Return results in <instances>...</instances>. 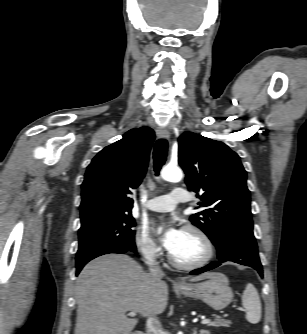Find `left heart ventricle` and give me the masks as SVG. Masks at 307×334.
<instances>
[{"label": "left heart ventricle", "instance_id": "left-heart-ventricle-1", "mask_svg": "<svg viewBox=\"0 0 307 334\" xmlns=\"http://www.w3.org/2000/svg\"><path fill=\"white\" fill-rule=\"evenodd\" d=\"M171 253L177 260L189 263L204 255V246L195 233L184 231L180 245Z\"/></svg>", "mask_w": 307, "mask_h": 334}]
</instances>
